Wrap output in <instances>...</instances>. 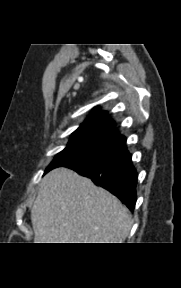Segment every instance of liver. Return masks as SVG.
Wrapping results in <instances>:
<instances>
[{"label":"liver","instance_id":"6515ba94","mask_svg":"<svg viewBox=\"0 0 181 288\" xmlns=\"http://www.w3.org/2000/svg\"><path fill=\"white\" fill-rule=\"evenodd\" d=\"M31 222L35 243H123L132 226L114 195L65 167L42 179Z\"/></svg>","mask_w":181,"mask_h":288}]
</instances>
